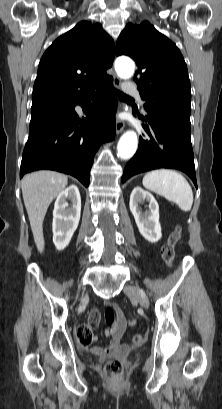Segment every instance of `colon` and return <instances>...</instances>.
<instances>
[{
    "mask_svg": "<svg viewBox=\"0 0 222 409\" xmlns=\"http://www.w3.org/2000/svg\"><path fill=\"white\" fill-rule=\"evenodd\" d=\"M180 229H176L172 232L167 242L162 247V258L167 265L172 266L175 258V247L180 240ZM105 320L108 325H112L115 319L113 308L107 306L105 308ZM92 332L86 324H81L76 329V337L81 345L90 344L92 341ZM134 343L142 344L144 337L142 335H135L133 338ZM123 363L119 359H110L105 364V372L112 382H120L123 379Z\"/></svg>",
    "mask_w": 222,
    "mask_h": 409,
    "instance_id": "obj_1",
    "label": "colon"
}]
</instances>
